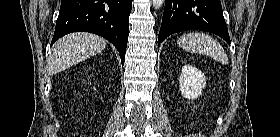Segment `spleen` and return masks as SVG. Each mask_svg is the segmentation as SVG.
Returning <instances> with one entry per match:
<instances>
[{
    "mask_svg": "<svg viewBox=\"0 0 280 137\" xmlns=\"http://www.w3.org/2000/svg\"><path fill=\"white\" fill-rule=\"evenodd\" d=\"M179 47L193 53L207 55L223 65L228 63V57L217 40L204 33H188L177 41Z\"/></svg>",
    "mask_w": 280,
    "mask_h": 137,
    "instance_id": "3e777b00",
    "label": "spleen"
}]
</instances>
